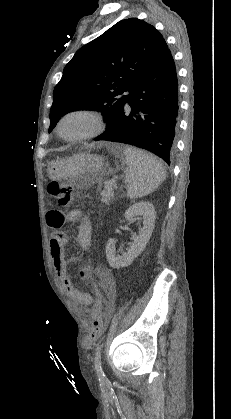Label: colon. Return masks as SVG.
Segmentation results:
<instances>
[{
  "label": "colon",
  "mask_w": 231,
  "mask_h": 419,
  "mask_svg": "<svg viewBox=\"0 0 231 419\" xmlns=\"http://www.w3.org/2000/svg\"><path fill=\"white\" fill-rule=\"evenodd\" d=\"M48 192L55 198L56 202L60 206H68L73 199L72 190L67 185L59 182H51L48 185ZM59 225H62L60 221ZM86 263H80L78 272H77V279L86 282L87 285H90L93 281V274L89 273L90 271V262L92 258L90 256H86L84 258ZM93 297L95 299H100L102 297V292L100 290H95L93 292ZM92 317V331L88 338L89 341H93L97 339L104 331L105 325L103 322V314L102 309L99 304H96L92 308L91 312Z\"/></svg>",
  "instance_id": "5ec220e1"
}]
</instances>
